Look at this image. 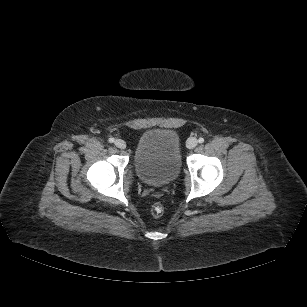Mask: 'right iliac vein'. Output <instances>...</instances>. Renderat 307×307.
Returning a JSON list of instances; mask_svg holds the SVG:
<instances>
[{
    "label": "right iliac vein",
    "mask_w": 307,
    "mask_h": 307,
    "mask_svg": "<svg viewBox=\"0 0 307 307\" xmlns=\"http://www.w3.org/2000/svg\"><path fill=\"white\" fill-rule=\"evenodd\" d=\"M115 146L119 149H125L126 148V142L124 140L118 139L115 141Z\"/></svg>",
    "instance_id": "63e3f726"
}]
</instances>
